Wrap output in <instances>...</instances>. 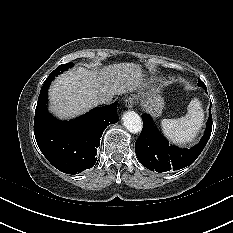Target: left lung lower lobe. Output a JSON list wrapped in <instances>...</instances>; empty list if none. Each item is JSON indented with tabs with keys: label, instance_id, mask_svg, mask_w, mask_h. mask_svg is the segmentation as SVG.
Returning <instances> with one entry per match:
<instances>
[{
	"label": "left lung lower lobe",
	"instance_id": "0a47b994",
	"mask_svg": "<svg viewBox=\"0 0 233 233\" xmlns=\"http://www.w3.org/2000/svg\"><path fill=\"white\" fill-rule=\"evenodd\" d=\"M205 90L207 92L206 87ZM142 120L143 129L135 142V152L143 166L159 173L190 166L206 146L212 131L211 106L205 134L199 144L190 149L170 146L148 114H143Z\"/></svg>",
	"mask_w": 233,
	"mask_h": 233
}]
</instances>
